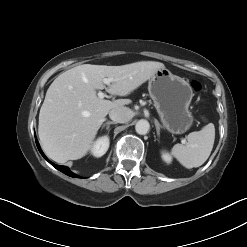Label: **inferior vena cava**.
Listing matches in <instances>:
<instances>
[{
    "instance_id": "inferior-vena-cava-1",
    "label": "inferior vena cava",
    "mask_w": 247,
    "mask_h": 247,
    "mask_svg": "<svg viewBox=\"0 0 247 247\" xmlns=\"http://www.w3.org/2000/svg\"><path fill=\"white\" fill-rule=\"evenodd\" d=\"M132 111L124 106L110 110L109 117L116 123H126L132 118Z\"/></svg>"
}]
</instances>
